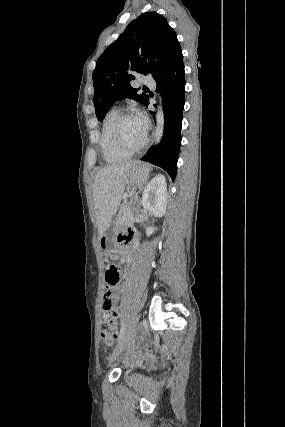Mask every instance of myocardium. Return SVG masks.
<instances>
[{"label":"myocardium","mask_w":285,"mask_h":427,"mask_svg":"<svg viewBox=\"0 0 285 427\" xmlns=\"http://www.w3.org/2000/svg\"><path fill=\"white\" fill-rule=\"evenodd\" d=\"M130 117H136V115L132 112L119 113V115L117 116L114 122V125L112 128V134L117 146L121 148L123 151L132 154L142 150L148 144L149 138H148V135L146 134L144 140L137 146H130L125 142L122 135L121 128H122L123 122Z\"/></svg>","instance_id":"obj_1"}]
</instances>
